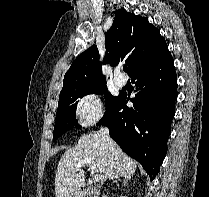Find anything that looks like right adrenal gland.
<instances>
[{
	"mask_svg": "<svg viewBox=\"0 0 209 197\" xmlns=\"http://www.w3.org/2000/svg\"><path fill=\"white\" fill-rule=\"evenodd\" d=\"M118 181H121V179L119 178L118 180H113L112 183H116L118 185ZM127 181L128 179L122 176V182L127 183Z\"/></svg>",
	"mask_w": 209,
	"mask_h": 197,
	"instance_id": "1",
	"label": "right adrenal gland"
}]
</instances>
